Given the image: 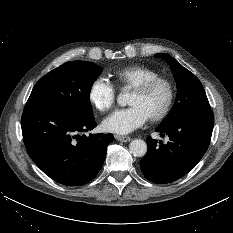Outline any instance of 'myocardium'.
<instances>
[{
  "label": "myocardium",
  "instance_id": "f54148a6",
  "mask_svg": "<svg viewBox=\"0 0 233 233\" xmlns=\"http://www.w3.org/2000/svg\"><path fill=\"white\" fill-rule=\"evenodd\" d=\"M160 84H163L167 87L168 97L162 110L156 115L149 117V120L151 122L162 121L170 113L174 100H175V87H174L173 82L169 78L159 76V77L150 79L148 81H145L144 83L132 89L133 92H136L139 94H146Z\"/></svg>",
  "mask_w": 233,
  "mask_h": 233
}]
</instances>
